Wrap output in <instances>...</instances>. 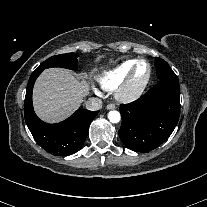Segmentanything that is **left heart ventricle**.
Segmentation results:
<instances>
[{"mask_svg":"<svg viewBox=\"0 0 207 207\" xmlns=\"http://www.w3.org/2000/svg\"><path fill=\"white\" fill-rule=\"evenodd\" d=\"M146 73H147V67L145 64H139L137 67H136V70H135V82H140L141 80L144 79V77L146 76Z\"/></svg>","mask_w":207,"mask_h":207,"instance_id":"b2bd125f","label":"left heart ventricle"}]
</instances>
